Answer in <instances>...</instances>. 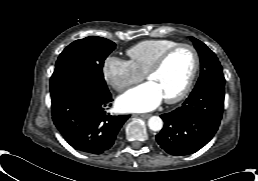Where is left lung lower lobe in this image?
I'll return each mask as SVG.
<instances>
[{
  "instance_id": "1",
  "label": "left lung lower lobe",
  "mask_w": 258,
  "mask_h": 181,
  "mask_svg": "<svg viewBox=\"0 0 258 181\" xmlns=\"http://www.w3.org/2000/svg\"><path fill=\"white\" fill-rule=\"evenodd\" d=\"M224 95V86H208L190 94L178 109L162 114L164 127L156 135L159 146L174 156L189 155L205 146L219 127Z\"/></svg>"
}]
</instances>
